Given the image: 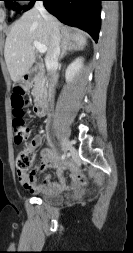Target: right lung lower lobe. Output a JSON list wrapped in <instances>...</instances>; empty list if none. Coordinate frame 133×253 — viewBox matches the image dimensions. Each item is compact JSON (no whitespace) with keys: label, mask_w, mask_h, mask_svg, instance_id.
Instances as JSON below:
<instances>
[{"label":"right lung lower lobe","mask_w":133,"mask_h":253,"mask_svg":"<svg viewBox=\"0 0 133 253\" xmlns=\"http://www.w3.org/2000/svg\"><path fill=\"white\" fill-rule=\"evenodd\" d=\"M24 9L29 10L36 0ZM102 0H43L45 8L61 22L87 31L97 42Z\"/></svg>","instance_id":"1"}]
</instances>
